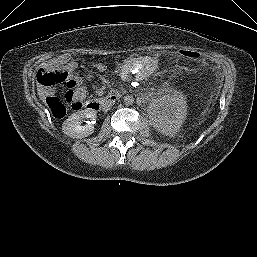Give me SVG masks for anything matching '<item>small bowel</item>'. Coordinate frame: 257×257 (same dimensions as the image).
<instances>
[{"instance_id":"c3829d8e","label":"small bowel","mask_w":257,"mask_h":257,"mask_svg":"<svg viewBox=\"0 0 257 257\" xmlns=\"http://www.w3.org/2000/svg\"><path fill=\"white\" fill-rule=\"evenodd\" d=\"M76 67H77V63L74 60H71L65 63L63 59H61V60H56L47 64V68H58L64 73L65 75L64 82H66V84L69 87L79 83V78L75 74ZM97 69L99 71H105L107 69V64L105 62H100L97 64ZM46 91H47L46 89L41 88L42 94H45Z\"/></svg>"}]
</instances>
